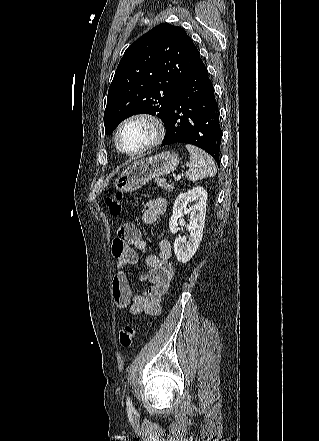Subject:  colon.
Masks as SVG:
<instances>
[{"instance_id":"obj_1","label":"colon","mask_w":319,"mask_h":441,"mask_svg":"<svg viewBox=\"0 0 319 441\" xmlns=\"http://www.w3.org/2000/svg\"><path fill=\"white\" fill-rule=\"evenodd\" d=\"M122 194L116 192L108 196L105 200L106 206L112 217H118L122 213ZM136 337V328L133 325L124 326L119 331V342L122 347L129 348L132 346Z\"/></svg>"}]
</instances>
